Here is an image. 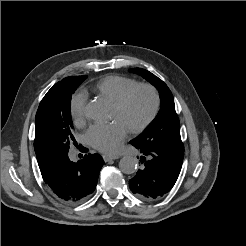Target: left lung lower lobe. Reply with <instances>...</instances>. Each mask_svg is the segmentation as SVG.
I'll return each instance as SVG.
<instances>
[{
    "instance_id": "obj_1",
    "label": "left lung lower lobe",
    "mask_w": 246,
    "mask_h": 246,
    "mask_svg": "<svg viewBox=\"0 0 246 246\" xmlns=\"http://www.w3.org/2000/svg\"><path fill=\"white\" fill-rule=\"evenodd\" d=\"M136 148L142 153L140 159L143 168L129 180V187L140 199H159L167 194L177 181L184 153L158 147Z\"/></svg>"
}]
</instances>
